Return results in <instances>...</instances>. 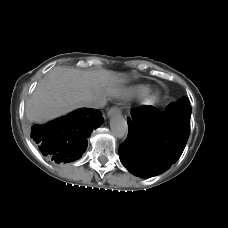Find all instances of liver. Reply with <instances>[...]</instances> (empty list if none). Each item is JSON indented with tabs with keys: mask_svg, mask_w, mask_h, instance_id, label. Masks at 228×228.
Segmentation results:
<instances>
[{
	"mask_svg": "<svg viewBox=\"0 0 228 228\" xmlns=\"http://www.w3.org/2000/svg\"><path fill=\"white\" fill-rule=\"evenodd\" d=\"M126 82V75L107 70L81 71L55 67L42 79L26 105L32 122L47 121L74 109Z\"/></svg>",
	"mask_w": 228,
	"mask_h": 228,
	"instance_id": "obj_1",
	"label": "liver"
}]
</instances>
